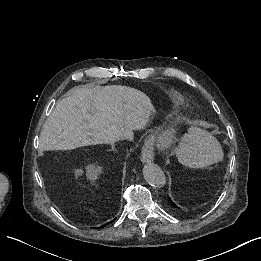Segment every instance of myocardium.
Returning <instances> with one entry per match:
<instances>
[{
    "label": "myocardium",
    "instance_id": "f54148a6",
    "mask_svg": "<svg viewBox=\"0 0 261 261\" xmlns=\"http://www.w3.org/2000/svg\"><path fill=\"white\" fill-rule=\"evenodd\" d=\"M188 126V117L185 113H166L154 116L148 120L144 138L148 145L153 146L155 154L173 156L182 148ZM164 129L168 139L164 143H155L158 130Z\"/></svg>",
    "mask_w": 261,
    "mask_h": 261
}]
</instances>
